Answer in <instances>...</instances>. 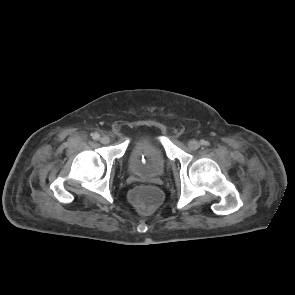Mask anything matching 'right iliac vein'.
I'll return each instance as SVG.
<instances>
[{"mask_svg":"<svg viewBox=\"0 0 295 295\" xmlns=\"http://www.w3.org/2000/svg\"><path fill=\"white\" fill-rule=\"evenodd\" d=\"M100 142L102 144H108L110 142V138L107 136V135H103L101 138H100Z\"/></svg>","mask_w":295,"mask_h":295,"instance_id":"63e3f726","label":"right iliac vein"}]
</instances>
